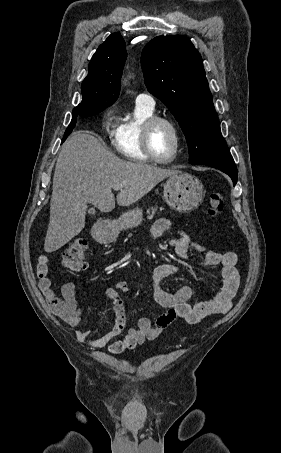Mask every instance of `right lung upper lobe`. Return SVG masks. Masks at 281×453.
<instances>
[{"mask_svg": "<svg viewBox=\"0 0 281 453\" xmlns=\"http://www.w3.org/2000/svg\"><path fill=\"white\" fill-rule=\"evenodd\" d=\"M127 58L125 41L119 33L111 34L99 46L82 82V102L74 110L93 108L103 111L118 98L120 79Z\"/></svg>", "mask_w": 281, "mask_h": 453, "instance_id": "cb5924a9", "label": "right lung upper lobe"}]
</instances>
